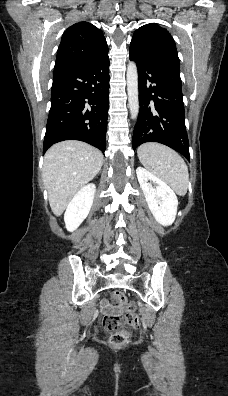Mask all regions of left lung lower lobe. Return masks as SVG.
I'll use <instances>...</instances> for the list:
<instances>
[{"mask_svg":"<svg viewBox=\"0 0 228 396\" xmlns=\"http://www.w3.org/2000/svg\"><path fill=\"white\" fill-rule=\"evenodd\" d=\"M138 69L139 114L133 150L145 142L171 147L189 160L180 68L174 63L130 48Z\"/></svg>","mask_w":228,"mask_h":396,"instance_id":"0a47b994","label":"left lung lower lobe"}]
</instances>
